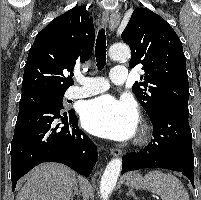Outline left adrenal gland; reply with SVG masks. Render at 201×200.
Here are the masks:
<instances>
[{
    "mask_svg": "<svg viewBox=\"0 0 201 200\" xmlns=\"http://www.w3.org/2000/svg\"><path fill=\"white\" fill-rule=\"evenodd\" d=\"M126 196H132L135 200H138L132 189H129V191L126 193Z\"/></svg>",
    "mask_w": 201,
    "mask_h": 200,
    "instance_id": "left-adrenal-gland-1",
    "label": "left adrenal gland"
}]
</instances>
